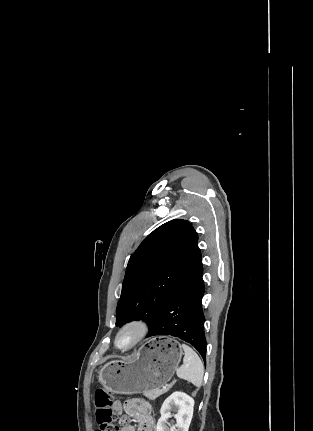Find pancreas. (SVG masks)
Listing matches in <instances>:
<instances>
[{
    "mask_svg": "<svg viewBox=\"0 0 313 431\" xmlns=\"http://www.w3.org/2000/svg\"><path fill=\"white\" fill-rule=\"evenodd\" d=\"M170 388H171V385H168V386L164 387L163 389L144 391L143 395L145 397L149 398L150 400H155L157 397L168 392Z\"/></svg>",
    "mask_w": 313,
    "mask_h": 431,
    "instance_id": "pancreas-1",
    "label": "pancreas"
}]
</instances>
